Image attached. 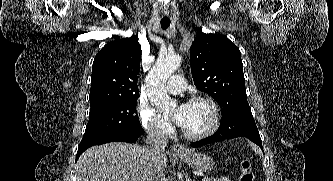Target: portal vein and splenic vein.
<instances>
[{
  "mask_svg": "<svg viewBox=\"0 0 333 181\" xmlns=\"http://www.w3.org/2000/svg\"><path fill=\"white\" fill-rule=\"evenodd\" d=\"M212 179L211 178H204L202 179V181H211Z\"/></svg>",
  "mask_w": 333,
  "mask_h": 181,
  "instance_id": "18ae733b",
  "label": "portal vein and splenic vein"
}]
</instances>
